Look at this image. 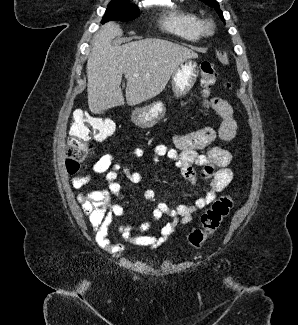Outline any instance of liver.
Listing matches in <instances>:
<instances>
[{"label":"liver","instance_id":"liver-1","mask_svg":"<svg viewBox=\"0 0 298 325\" xmlns=\"http://www.w3.org/2000/svg\"><path fill=\"white\" fill-rule=\"evenodd\" d=\"M120 34L122 28L110 20L94 36L86 70L88 106L95 114L124 104L123 74L127 80L126 102L134 106L160 94L182 60L198 58L192 48L163 38H143L113 46V38Z\"/></svg>","mask_w":298,"mask_h":325}]
</instances>
